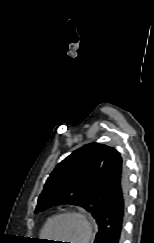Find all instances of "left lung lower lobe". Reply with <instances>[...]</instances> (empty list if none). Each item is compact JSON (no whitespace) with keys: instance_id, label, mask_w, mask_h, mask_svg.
Masks as SVG:
<instances>
[{"instance_id":"1","label":"left lung lower lobe","mask_w":154,"mask_h":243,"mask_svg":"<svg viewBox=\"0 0 154 243\" xmlns=\"http://www.w3.org/2000/svg\"><path fill=\"white\" fill-rule=\"evenodd\" d=\"M96 201L98 232L94 243H122L128 200V177L122 158L114 148L106 156L92 186Z\"/></svg>"}]
</instances>
